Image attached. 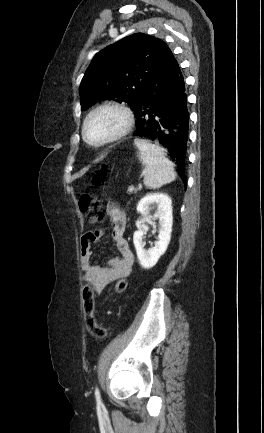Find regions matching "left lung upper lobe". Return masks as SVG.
<instances>
[{
	"mask_svg": "<svg viewBox=\"0 0 264 433\" xmlns=\"http://www.w3.org/2000/svg\"><path fill=\"white\" fill-rule=\"evenodd\" d=\"M172 52L161 39L136 33L98 52L80 86L81 108L101 100L125 102L133 109L142 91Z\"/></svg>",
	"mask_w": 264,
	"mask_h": 433,
	"instance_id": "5c2ea615",
	"label": "left lung upper lobe"
}]
</instances>
